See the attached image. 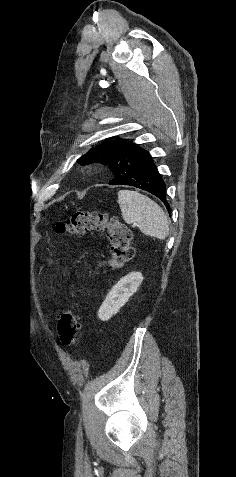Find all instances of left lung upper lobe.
<instances>
[{"label":"left lung upper lobe","mask_w":236,"mask_h":477,"mask_svg":"<svg viewBox=\"0 0 236 477\" xmlns=\"http://www.w3.org/2000/svg\"><path fill=\"white\" fill-rule=\"evenodd\" d=\"M145 152L136 144H128L122 140L108 141L91 149L87 154L78 159L82 165L101 162L109 166L114 174L110 185L123 182L130 174L135 161Z\"/></svg>","instance_id":"5c2ea615"}]
</instances>
